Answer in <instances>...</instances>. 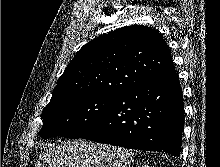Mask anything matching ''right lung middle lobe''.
<instances>
[{
	"instance_id": "dd1d6c3e",
	"label": "right lung middle lobe",
	"mask_w": 220,
	"mask_h": 167,
	"mask_svg": "<svg viewBox=\"0 0 220 167\" xmlns=\"http://www.w3.org/2000/svg\"><path fill=\"white\" fill-rule=\"evenodd\" d=\"M115 96V94L75 93L51 100L42 111L41 137L80 138L103 117Z\"/></svg>"
}]
</instances>
